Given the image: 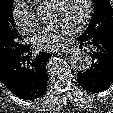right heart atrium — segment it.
Listing matches in <instances>:
<instances>
[{"label": "right heart atrium", "instance_id": "obj_1", "mask_svg": "<svg viewBox=\"0 0 113 113\" xmlns=\"http://www.w3.org/2000/svg\"><path fill=\"white\" fill-rule=\"evenodd\" d=\"M11 13L13 22L20 32L29 34L36 30V13L26 1L14 0Z\"/></svg>", "mask_w": 113, "mask_h": 113}]
</instances>
